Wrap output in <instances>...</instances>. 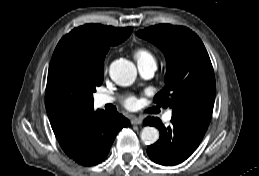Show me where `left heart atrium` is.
<instances>
[{"label": "left heart atrium", "mask_w": 259, "mask_h": 176, "mask_svg": "<svg viewBox=\"0 0 259 176\" xmlns=\"http://www.w3.org/2000/svg\"><path fill=\"white\" fill-rule=\"evenodd\" d=\"M124 104L126 107L128 108H133L136 106L137 104V99L134 96H128L125 101Z\"/></svg>", "instance_id": "left-heart-atrium-1"}]
</instances>
